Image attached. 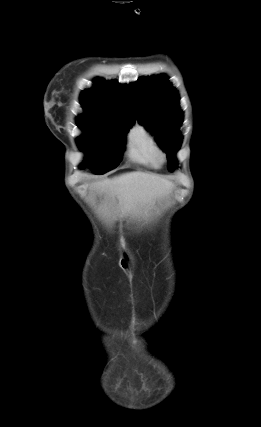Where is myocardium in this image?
<instances>
[{"mask_svg":"<svg viewBox=\"0 0 261 427\" xmlns=\"http://www.w3.org/2000/svg\"><path fill=\"white\" fill-rule=\"evenodd\" d=\"M156 156H157V162H158L159 165H162V164L165 163V161H166V154H165V152L162 149L158 148Z\"/></svg>","mask_w":261,"mask_h":427,"instance_id":"f54148a6","label":"myocardium"}]
</instances>
